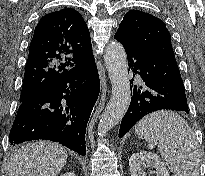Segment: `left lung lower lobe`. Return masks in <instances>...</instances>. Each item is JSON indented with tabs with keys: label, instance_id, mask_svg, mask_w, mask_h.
<instances>
[{
	"label": "left lung lower lobe",
	"instance_id": "0a47b994",
	"mask_svg": "<svg viewBox=\"0 0 205 176\" xmlns=\"http://www.w3.org/2000/svg\"><path fill=\"white\" fill-rule=\"evenodd\" d=\"M115 39L125 48L129 67L142 79L141 86H131V103L122 119L119 137L154 111L171 109L189 113L176 59L158 56L133 46L119 33L115 34Z\"/></svg>",
	"mask_w": 205,
	"mask_h": 176
}]
</instances>
